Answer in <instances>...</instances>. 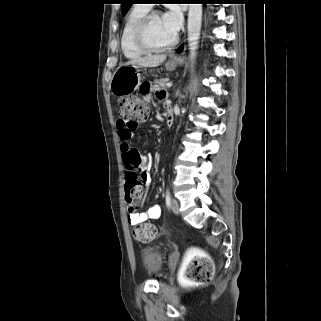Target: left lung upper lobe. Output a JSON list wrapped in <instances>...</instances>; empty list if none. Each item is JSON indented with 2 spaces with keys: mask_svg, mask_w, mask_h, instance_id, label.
Masks as SVG:
<instances>
[{
  "mask_svg": "<svg viewBox=\"0 0 321 321\" xmlns=\"http://www.w3.org/2000/svg\"><path fill=\"white\" fill-rule=\"evenodd\" d=\"M133 3H134V0H121L123 15H125L128 12V10L130 9Z\"/></svg>",
  "mask_w": 321,
  "mask_h": 321,
  "instance_id": "5c2ea615",
  "label": "left lung upper lobe"
}]
</instances>
